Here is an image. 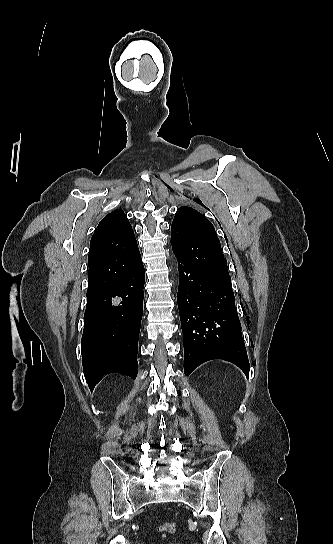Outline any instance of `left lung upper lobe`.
I'll use <instances>...</instances> for the list:
<instances>
[{"instance_id": "1", "label": "left lung upper lobe", "mask_w": 333, "mask_h": 544, "mask_svg": "<svg viewBox=\"0 0 333 544\" xmlns=\"http://www.w3.org/2000/svg\"><path fill=\"white\" fill-rule=\"evenodd\" d=\"M171 244L176 257L209 273L233 293L227 261L212 223L197 210L180 207L171 225Z\"/></svg>"}]
</instances>
